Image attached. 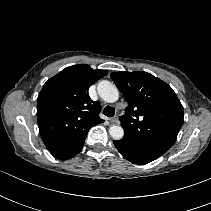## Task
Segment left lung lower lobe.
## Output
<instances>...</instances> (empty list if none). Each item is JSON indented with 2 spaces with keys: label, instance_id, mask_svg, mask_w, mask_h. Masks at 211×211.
I'll list each match as a JSON object with an SVG mask.
<instances>
[{
  "label": "left lung lower lobe",
  "instance_id": "1",
  "mask_svg": "<svg viewBox=\"0 0 211 211\" xmlns=\"http://www.w3.org/2000/svg\"><path fill=\"white\" fill-rule=\"evenodd\" d=\"M114 145L117 148V150L121 153V155L127 159L128 161L135 163V164H147L153 160L145 157L143 154H141L139 151H137L135 148H133L127 141L124 139L121 140H114Z\"/></svg>",
  "mask_w": 211,
  "mask_h": 211
}]
</instances>
